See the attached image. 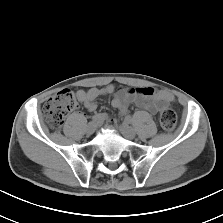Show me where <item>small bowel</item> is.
I'll return each instance as SVG.
<instances>
[{
  "mask_svg": "<svg viewBox=\"0 0 223 223\" xmlns=\"http://www.w3.org/2000/svg\"><path fill=\"white\" fill-rule=\"evenodd\" d=\"M108 94H113L112 105L118 109L120 116L127 114L131 102L155 114L166 104L174 101V97L170 93L153 87L116 88L114 85H108L103 88L94 87L87 91L79 90L76 96L78 101L81 102L88 111L92 112L97 108L96 99ZM97 115L101 117V121L107 119L106 113H99Z\"/></svg>",
  "mask_w": 223,
  "mask_h": 223,
  "instance_id": "c3829d8e",
  "label": "small bowel"
}]
</instances>
